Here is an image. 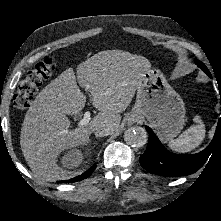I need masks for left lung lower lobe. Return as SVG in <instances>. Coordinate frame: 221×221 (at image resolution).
Returning <instances> with one entry per match:
<instances>
[{"mask_svg": "<svg viewBox=\"0 0 221 221\" xmlns=\"http://www.w3.org/2000/svg\"><path fill=\"white\" fill-rule=\"evenodd\" d=\"M146 130L149 133V140L146 151L140 156V164L151 174L165 177L192 174L206 163L215 148L221 147V118L209 146L200 153L192 155H178L169 152L149 127L146 126Z\"/></svg>", "mask_w": 221, "mask_h": 221, "instance_id": "left-lung-lower-lobe-1", "label": "left lung lower lobe"}]
</instances>
